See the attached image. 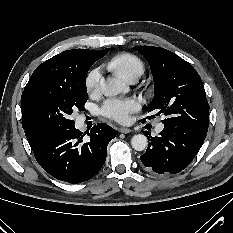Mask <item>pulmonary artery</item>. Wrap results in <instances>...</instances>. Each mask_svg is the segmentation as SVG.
I'll list each match as a JSON object with an SVG mask.
<instances>
[{
	"label": "pulmonary artery",
	"instance_id": "1",
	"mask_svg": "<svg viewBox=\"0 0 233 233\" xmlns=\"http://www.w3.org/2000/svg\"><path fill=\"white\" fill-rule=\"evenodd\" d=\"M139 77H140V75H134V76L130 77L128 79V81L131 82V83H135L138 80ZM163 128H164V125L162 123H158L155 130L157 132H161L163 130Z\"/></svg>",
	"mask_w": 233,
	"mask_h": 233
}]
</instances>
